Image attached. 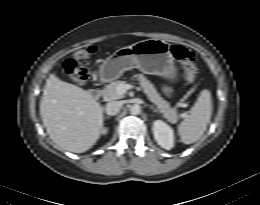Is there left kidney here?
<instances>
[{
  "instance_id": "obj_1",
  "label": "left kidney",
  "mask_w": 260,
  "mask_h": 205,
  "mask_svg": "<svg viewBox=\"0 0 260 205\" xmlns=\"http://www.w3.org/2000/svg\"><path fill=\"white\" fill-rule=\"evenodd\" d=\"M152 130L155 140L162 148L170 150L174 147V132L169 125L161 120H156Z\"/></svg>"
}]
</instances>
